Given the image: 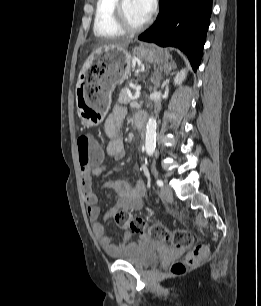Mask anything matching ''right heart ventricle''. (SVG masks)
Instances as JSON below:
<instances>
[{
	"instance_id": "e07e8e85",
	"label": "right heart ventricle",
	"mask_w": 261,
	"mask_h": 306,
	"mask_svg": "<svg viewBox=\"0 0 261 306\" xmlns=\"http://www.w3.org/2000/svg\"><path fill=\"white\" fill-rule=\"evenodd\" d=\"M117 2L118 0H97L93 23V31L97 37L113 39L125 34L116 21Z\"/></svg>"
}]
</instances>
